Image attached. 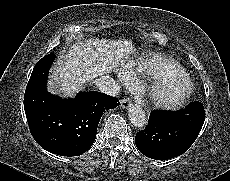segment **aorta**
<instances>
[{"instance_id":"1","label":"aorta","mask_w":230,"mask_h":181,"mask_svg":"<svg viewBox=\"0 0 230 181\" xmlns=\"http://www.w3.org/2000/svg\"><path fill=\"white\" fill-rule=\"evenodd\" d=\"M128 116L130 122L136 128L143 129L148 123L146 113L139 105L130 106Z\"/></svg>"}]
</instances>
